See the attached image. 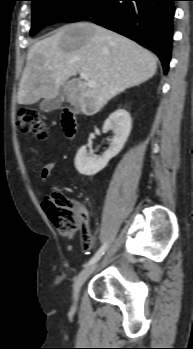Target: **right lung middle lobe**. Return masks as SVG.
Returning a JSON list of instances; mask_svg holds the SVG:
<instances>
[{
	"label": "right lung middle lobe",
	"mask_w": 193,
	"mask_h": 349,
	"mask_svg": "<svg viewBox=\"0 0 193 349\" xmlns=\"http://www.w3.org/2000/svg\"><path fill=\"white\" fill-rule=\"evenodd\" d=\"M34 35L43 27L57 22H77L87 16L101 0H31Z\"/></svg>",
	"instance_id": "obj_1"
}]
</instances>
